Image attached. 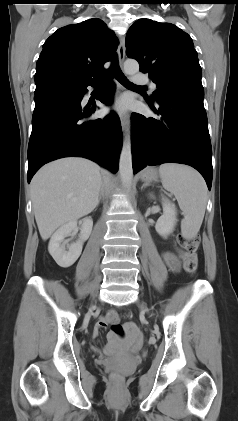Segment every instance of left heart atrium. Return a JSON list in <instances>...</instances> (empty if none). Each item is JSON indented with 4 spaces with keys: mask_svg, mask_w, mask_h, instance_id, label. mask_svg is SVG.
<instances>
[{
    "mask_svg": "<svg viewBox=\"0 0 238 421\" xmlns=\"http://www.w3.org/2000/svg\"><path fill=\"white\" fill-rule=\"evenodd\" d=\"M127 107V104L124 100H119L118 102H116V104L112 107L113 110L117 111V112H123L125 111Z\"/></svg>",
    "mask_w": 238,
    "mask_h": 421,
    "instance_id": "obj_1",
    "label": "left heart atrium"
}]
</instances>
